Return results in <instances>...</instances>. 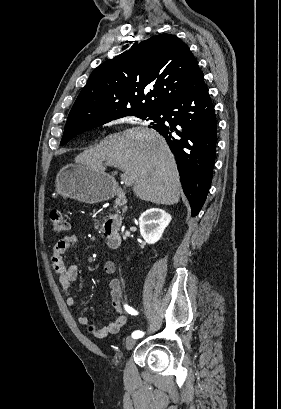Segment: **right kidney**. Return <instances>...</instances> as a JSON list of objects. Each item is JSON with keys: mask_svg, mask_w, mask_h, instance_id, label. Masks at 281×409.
Wrapping results in <instances>:
<instances>
[{"mask_svg": "<svg viewBox=\"0 0 281 409\" xmlns=\"http://www.w3.org/2000/svg\"><path fill=\"white\" fill-rule=\"evenodd\" d=\"M170 221L171 215H168L163 209H157V207L147 209L139 219L141 237L148 245H154L161 239Z\"/></svg>", "mask_w": 281, "mask_h": 409, "instance_id": "obj_1", "label": "right kidney"}]
</instances>
